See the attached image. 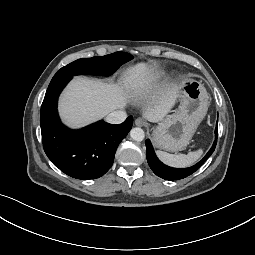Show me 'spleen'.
I'll return each mask as SVG.
<instances>
[{
	"label": "spleen",
	"instance_id": "obj_1",
	"mask_svg": "<svg viewBox=\"0 0 255 255\" xmlns=\"http://www.w3.org/2000/svg\"><path fill=\"white\" fill-rule=\"evenodd\" d=\"M203 150L200 148L188 154H169L164 151H157L158 158L171 167L184 168L193 165L202 155Z\"/></svg>",
	"mask_w": 255,
	"mask_h": 255
}]
</instances>
